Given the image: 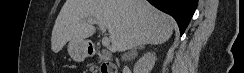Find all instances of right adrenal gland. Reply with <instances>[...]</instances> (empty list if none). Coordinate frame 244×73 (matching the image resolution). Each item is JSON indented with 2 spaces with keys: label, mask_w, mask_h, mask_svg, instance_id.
Listing matches in <instances>:
<instances>
[{
  "label": "right adrenal gland",
  "mask_w": 244,
  "mask_h": 73,
  "mask_svg": "<svg viewBox=\"0 0 244 73\" xmlns=\"http://www.w3.org/2000/svg\"><path fill=\"white\" fill-rule=\"evenodd\" d=\"M143 48H144V45L138 47V49H143ZM136 50H137V48H134V49L132 50V52H136Z\"/></svg>",
  "instance_id": "right-adrenal-gland-1"
}]
</instances>
